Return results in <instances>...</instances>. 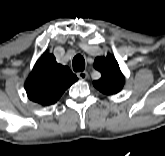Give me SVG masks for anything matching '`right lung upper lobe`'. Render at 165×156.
Wrapping results in <instances>:
<instances>
[{
    "mask_svg": "<svg viewBox=\"0 0 165 156\" xmlns=\"http://www.w3.org/2000/svg\"><path fill=\"white\" fill-rule=\"evenodd\" d=\"M77 80L67 66L58 64L53 54L45 52L26 81V92L30 100L51 105Z\"/></svg>",
    "mask_w": 165,
    "mask_h": 156,
    "instance_id": "cb5924a9",
    "label": "right lung upper lobe"
}]
</instances>
